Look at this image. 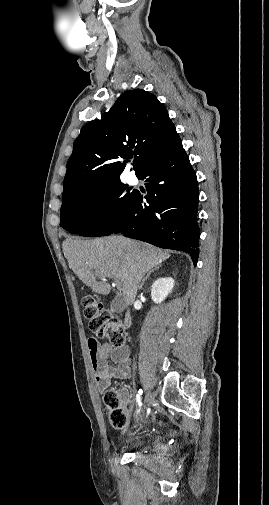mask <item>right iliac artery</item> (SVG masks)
<instances>
[{
    "instance_id": "obj_1",
    "label": "right iliac artery",
    "mask_w": 269,
    "mask_h": 505,
    "mask_svg": "<svg viewBox=\"0 0 269 505\" xmlns=\"http://www.w3.org/2000/svg\"><path fill=\"white\" fill-rule=\"evenodd\" d=\"M141 396H142V390L140 389V390L138 391V394L136 395V400H137V404H138V410H137V413H139L140 408H141V406H142Z\"/></svg>"
}]
</instances>
